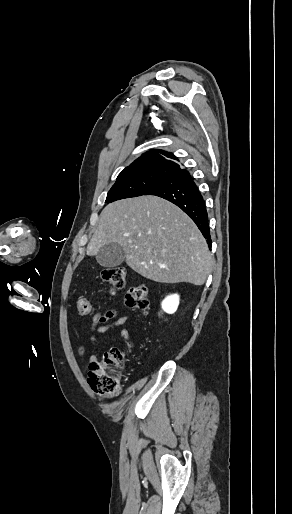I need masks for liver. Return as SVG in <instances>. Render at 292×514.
I'll return each mask as SVG.
<instances>
[{
  "label": "liver",
  "mask_w": 292,
  "mask_h": 514,
  "mask_svg": "<svg viewBox=\"0 0 292 514\" xmlns=\"http://www.w3.org/2000/svg\"><path fill=\"white\" fill-rule=\"evenodd\" d=\"M111 242L123 246L129 268L154 282L202 286L212 270L211 252L196 224L158 196L108 204L87 246V256H96L99 248Z\"/></svg>",
  "instance_id": "obj_1"
}]
</instances>
